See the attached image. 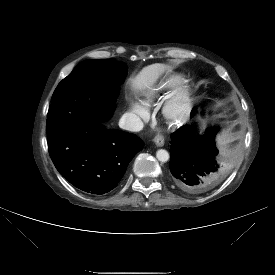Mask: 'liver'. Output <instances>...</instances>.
I'll return each instance as SVG.
<instances>
[{
  "mask_svg": "<svg viewBox=\"0 0 275 275\" xmlns=\"http://www.w3.org/2000/svg\"><path fill=\"white\" fill-rule=\"evenodd\" d=\"M166 68L164 64H152L142 69V71L131 79V87L134 91L144 92L151 90L161 72Z\"/></svg>",
  "mask_w": 275,
  "mask_h": 275,
  "instance_id": "1",
  "label": "liver"
}]
</instances>
